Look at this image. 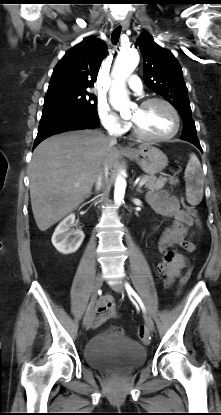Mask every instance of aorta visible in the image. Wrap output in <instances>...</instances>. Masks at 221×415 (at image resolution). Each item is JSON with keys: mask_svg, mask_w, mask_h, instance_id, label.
Here are the masks:
<instances>
[{"mask_svg": "<svg viewBox=\"0 0 221 415\" xmlns=\"http://www.w3.org/2000/svg\"><path fill=\"white\" fill-rule=\"evenodd\" d=\"M139 63V54L136 50L121 52L114 64V83L110 90V103L114 109L123 112L130 107V100L126 92L125 80L135 70ZM126 180L122 175L116 178L114 189V201L121 204L124 199Z\"/></svg>", "mask_w": 221, "mask_h": 415, "instance_id": "762f6f07", "label": "aorta"}]
</instances>
